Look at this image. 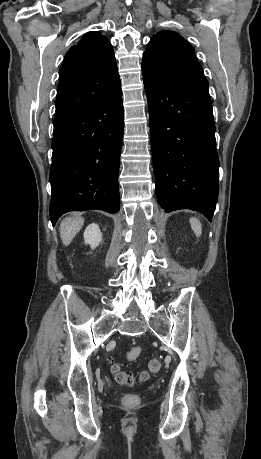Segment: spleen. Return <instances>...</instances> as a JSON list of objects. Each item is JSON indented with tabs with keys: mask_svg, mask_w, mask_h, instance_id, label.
Segmentation results:
<instances>
[{
	"mask_svg": "<svg viewBox=\"0 0 261 459\" xmlns=\"http://www.w3.org/2000/svg\"><path fill=\"white\" fill-rule=\"evenodd\" d=\"M190 225H191V228H192L194 234L197 237H200L201 234H202V225H201L200 220L195 218V217H192V218H190Z\"/></svg>",
	"mask_w": 261,
	"mask_h": 459,
	"instance_id": "3e777b00",
	"label": "spleen"
}]
</instances>
